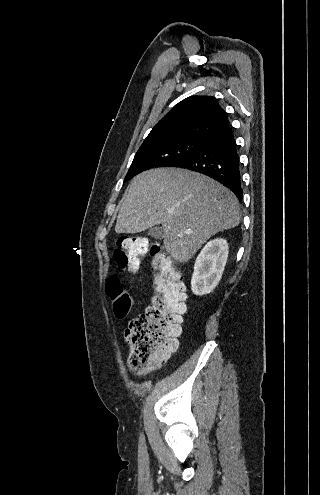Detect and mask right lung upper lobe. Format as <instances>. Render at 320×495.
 <instances>
[{
  "mask_svg": "<svg viewBox=\"0 0 320 495\" xmlns=\"http://www.w3.org/2000/svg\"><path fill=\"white\" fill-rule=\"evenodd\" d=\"M229 126L225 111L212 96H191L174 106L151 130L141 146L186 138L207 139Z\"/></svg>",
  "mask_w": 320,
  "mask_h": 495,
  "instance_id": "1",
  "label": "right lung upper lobe"
}]
</instances>
